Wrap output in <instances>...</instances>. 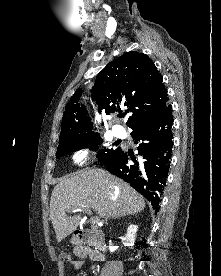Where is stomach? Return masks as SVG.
<instances>
[{
  "label": "stomach",
  "instance_id": "1",
  "mask_svg": "<svg viewBox=\"0 0 221 276\" xmlns=\"http://www.w3.org/2000/svg\"><path fill=\"white\" fill-rule=\"evenodd\" d=\"M71 241H72L73 243H75V242H76V238L73 237Z\"/></svg>",
  "mask_w": 221,
  "mask_h": 276
}]
</instances>
